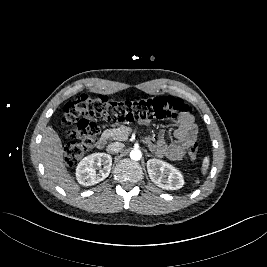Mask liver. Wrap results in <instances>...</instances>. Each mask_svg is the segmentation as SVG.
<instances>
[{
  "label": "liver",
  "mask_w": 267,
  "mask_h": 267,
  "mask_svg": "<svg viewBox=\"0 0 267 267\" xmlns=\"http://www.w3.org/2000/svg\"><path fill=\"white\" fill-rule=\"evenodd\" d=\"M40 155L45 172L53 182L68 192H77L80 189L67 171L62 141L52 126L46 127L43 132Z\"/></svg>",
  "instance_id": "1"
}]
</instances>
